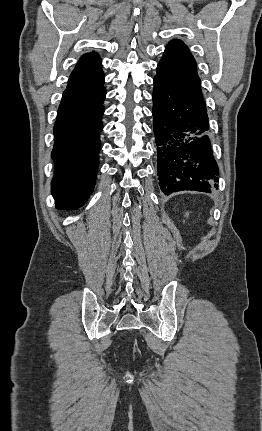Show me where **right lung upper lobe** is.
<instances>
[{"label":"right lung upper lobe","mask_w":262,"mask_h":431,"mask_svg":"<svg viewBox=\"0 0 262 431\" xmlns=\"http://www.w3.org/2000/svg\"><path fill=\"white\" fill-rule=\"evenodd\" d=\"M104 75L97 53H87L80 58L70 75L67 89H93L103 86Z\"/></svg>","instance_id":"1"}]
</instances>
